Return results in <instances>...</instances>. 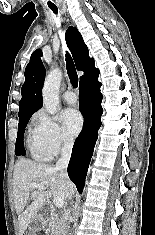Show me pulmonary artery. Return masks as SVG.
Returning <instances> with one entry per match:
<instances>
[{"label":"pulmonary artery","instance_id":"obj_1","mask_svg":"<svg viewBox=\"0 0 155 235\" xmlns=\"http://www.w3.org/2000/svg\"><path fill=\"white\" fill-rule=\"evenodd\" d=\"M63 99L68 103V104H75L77 102V96L75 93L71 90H68L64 92L63 94Z\"/></svg>","mask_w":155,"mask_h":235}]
</instances>
